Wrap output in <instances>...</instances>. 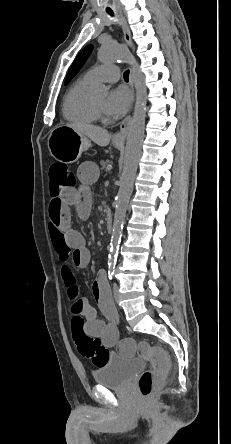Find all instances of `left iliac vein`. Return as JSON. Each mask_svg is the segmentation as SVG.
I'll return each mask as SVG.
<instances>
[{"label":"left iliac vein","mask_w":231,"mask_h":444,"mask_svg":"<svg viewBox=\"0 0 231 444\" xmlns=\"http://www.w3.org/2000/svg\"><path fill=\"white\" fill-rule=\"evenodd\" d=\"M113 293H114L115 300L118 301L119 300V286L116 283L113 285Z\"/></svg>","instance_id":"obj_1"}]
</instances>
